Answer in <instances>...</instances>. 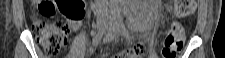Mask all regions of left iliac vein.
Listing matches in <instances>:
<instances>
[{"label": "left iliac vein", "mask_w": 225, "mask_h": 58, "mask_svg": "<svg viewBox=\"0 0 225 58\" xmlns=\"http://www.w3.org/2000/svg\"><path fill=\"white\" fill-rule=\"evenodd\" d=\"M106 34H107V37L111 40L118 38L119 29L117 27V19H115L114 21L111 19L107 20Z\"/></svg>", "instance_id": "obj_1"}]
</instances>
